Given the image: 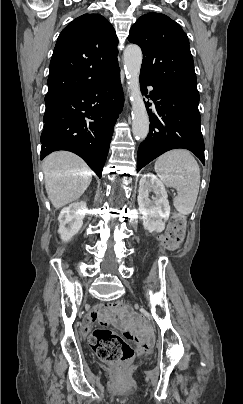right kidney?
I'll return each mask as SVG.
<instances>
[{"instance_id":"ca27d5eb","label":"right kidney","mask_w":243,"mask_h":404,"mask_svg":"<svg viewBox=\"0 0 243 404\" xmlns=\"http://www.w3.org/2000/svg\"><path fill=\"white\" fill-rule=\"evenodd\" d=\"M85 218L83 202H74L68 208H63L58 216L59 230L61 240L69 242L72 236L78 234L83 226Z\"/></svg>"}]
</instances>
